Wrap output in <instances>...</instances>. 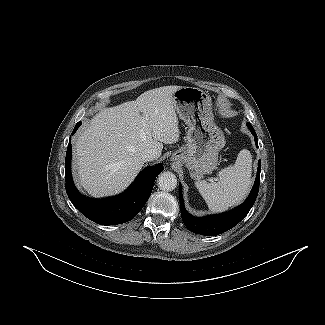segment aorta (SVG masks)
Segmentation results:
<instances>
[{
  "label": "aorta",
  "mask_w": 325,
  "mask_h": 325,
  "mask_svg": "<svg viewBox=\"0 0 325 325\" xmlns=\"http://www.w3.org/2000/svg\"><path fill=\"white\" fill-rule=\"evenodd\" d=\"M157 183L161 190L172 191L177 186V178L172 172L165 171L159 174Z\"/></svg>",
  "instance_id": "1"
}]
</instances>
